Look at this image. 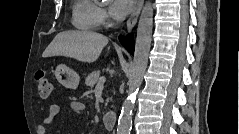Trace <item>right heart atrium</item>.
Here are the masks:
<instances>
[{
	"label": "right heart atrium",
	"mask_w": 239,
	"mask_h": 134,
	"mask_svg": "<svg viewBox=\"0 0 239 134\" xmlns=\"http://www.w3.org/2000/svg\"><path fill=\"white\" fill-rule=\"evenodd\" d=\"M108 15L107 11L103 7H98L97 9V22L98 24H104L107 21Z\"/></svg>",
	"instance_id": "obj_1"
}]
</instances>
